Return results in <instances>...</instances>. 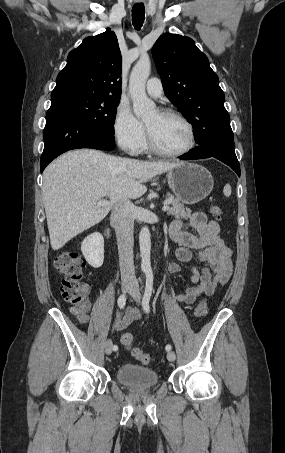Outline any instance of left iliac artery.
<instances>
[{
	"mask_svg": "<svg viewBox=\"0 0 285 453\" xmlns=\"http://www.w3.org/2000/svg\"><path fill=\"white\" fill-rule=\"evenodd\" d=\"M152 290H153V273L148 271L146 273V286H145V292H144L143 300H142V307L146 313H148L150 311L149 302H150V298L152 295ZM165 348H166V351H170L172 347L170 344H168V345H166Z\"/></svg>",
	"mask_w": 285,
	"mask_h": 453,
	"instance_id": "44dca946",
	"label": "left iliac artery"
}]
</instances>
